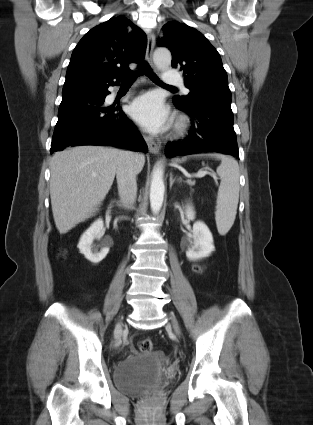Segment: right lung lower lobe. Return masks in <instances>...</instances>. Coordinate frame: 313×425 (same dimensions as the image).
I'll return each instance as SVG.
<instances>
[{
  "label": "right lung lower lobe",
  "instance_id": "98d812e1",
  "mask_svg": "<svg viewBox=\"0 0 313 425\" xmlns=\"http://www.w3.org/2000/svg\"><path fill=\"white\" fill-rule=\"evenodd\" d=\"M108 84L65 86L50 152L68 146L99 145L147 152L136 127L117 107L105 106ZM117 111H119L117 113Z\"/></svg>",
  "mask_w": 313,
  "mask_h": 425
}]
</instances>
